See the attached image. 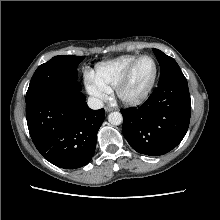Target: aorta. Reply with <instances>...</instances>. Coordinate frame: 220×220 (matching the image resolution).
<instances>
[{
  "label": "aorta",
  "instance_id": "obj_1",
  "mask_svg": "<svg viewBox=\"0 0 220 220\" xmlns=\"http://www.w3.org/2000/svg\"><path fill=\"white\" fill-rule=\"evenodd\" d=\"M108 121L112 125H120L123 121L122 114L120 112H111L108 115Z\"/></svg>",
  "mask_w": 220,
  "mask_h": 220
}]
</instances>
